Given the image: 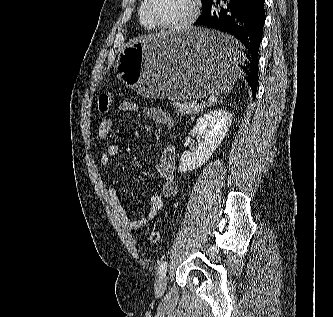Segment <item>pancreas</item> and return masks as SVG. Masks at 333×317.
Wrapping results in <instances>:
<instances>
[{"label": "pancreas", "mask_w": 333, "mask_h": 317, "mask_svg": "<svg viewBox=\"0 0 333 317\" xmlns=\"http://www.w3.org/2000/svg\"><path fill=\"white\" fill-rule=\"evenodd\" d=\"M208 106L209 105L207 103H202L198 105V104H192L191 101H184L183 103L176 101L173 103L174 109L178 113H181L183 115H194L196 113L203 111Z\"/></svg>", "instance_id": "cf45deb5"}]
</instances>
